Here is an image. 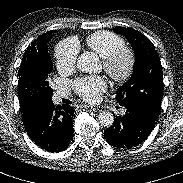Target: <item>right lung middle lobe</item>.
I'll list each match as a JSON object with an SVG mask.
<instances>
[{"label":"right lung middle lobe","mask_w":183,"mask_h":183,"mask_svg":"<svg viewBox=\"0 0 183 183\" xmlns=\"http://www.w3.org/2000/svg\"><path fill=\"white\" fill-rule=\"evenodd\" d=\"M27 64L19 68L18 95L20 108L39 100L51 99L53 89L49 86V76L53 65L47 43Z\"/></svg>","instance_id":"dd1d6c3e"}]
</instances>
